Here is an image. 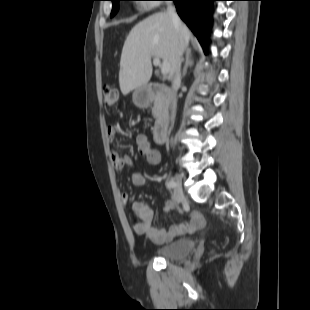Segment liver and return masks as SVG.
I'll return each instance as SVG.
<instances>
[{
  "instance_id": "liver-1",
  "label": "liver",
  "mask_w": 310,
  "mask_h": 310,
  "mask_svg": "<svg viewBox=\"0 0 310 310\" xmlns=\"http://www.w3.org/2000/svg\"><path fill=\"white\" fill-rule=\"evenodd\" d=\"M191 38L188 27L181 23L178 30L168 13L159 12L139 22L125 40L119 71L123 95L147 85L152 76L151 58H161L170 66L169 80L175 74L180 53L187 49Z\"/></svg>"
}]
</instances>
